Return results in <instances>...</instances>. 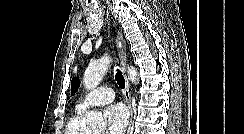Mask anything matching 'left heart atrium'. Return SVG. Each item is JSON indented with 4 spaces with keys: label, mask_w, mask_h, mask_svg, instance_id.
Returning a JSON list of instances; mask_svg holds the SVG:
<instances>
[{
    "label": "left heart atrium",
    "mask_w": 244,
    "mask_h": 134,
    "mask_svg": "<svg viewBox=\"0 0 244 134\" xmlns=\"http://www.w3.org/2000/svg\"><path fill=\"white\" fill-rule=\"evenodd\" d=\"M104 115L107 121L106 134H124L128 113L123 105L116 104L108 107Z\"/></svg>",
    "instance_id": "obj_1"
}]
</instances>
